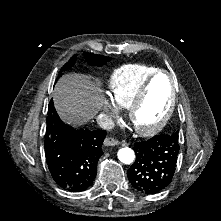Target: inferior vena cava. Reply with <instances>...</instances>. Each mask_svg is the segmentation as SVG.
<instances>
[{
	"mask_svg": "<svg viewBox=\"0 0 221 221\" xmlns=\"http://www.w3.org/2000/svg\"><path fill=\"white\" fill-rule=\"evenodd\" d=\"M97 123L105 130L112 129L114 127V121L110 115L101 113L97 116Z\"/></svg>",
	"mask_w": 221,
	"mask_h": 221,
	"instance_id": "inferior-vena-cava-1",
	"label": "inferior vena cava"
}]
</instances>
